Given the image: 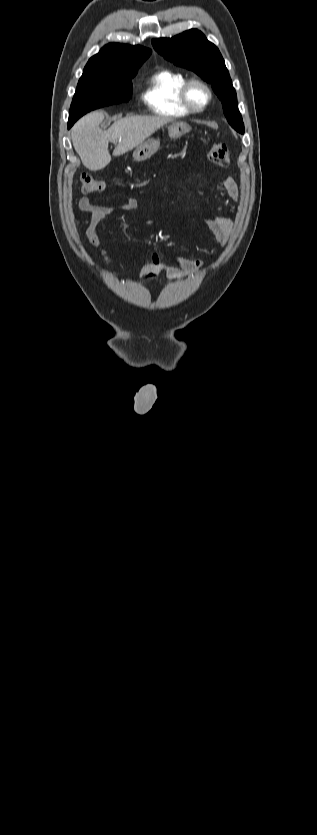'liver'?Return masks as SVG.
I'll list each match as a JSON object with an SVG mask.
<instances>
[{
  "instance_id": "6515ba94",
  "label": "liver",
  "mask_w": 317,
  "mask_h": 835,
  "mask_svg": "<svg viewBox=\"0 0 317 835\" xmlns=\"http://www.w3.org/2000/svg\"><path fill=\"white\" fill-rule=\"evenodd\" d=\"M104 120L103 111L89 113L72 128L71 138L75 151L89 170L97 171L111 161L109 142L116 145L113 155L120 156L138 147L168 120L160 117L126 116L103 131L99 125Z\"/></svg>"
}]
</instances>
